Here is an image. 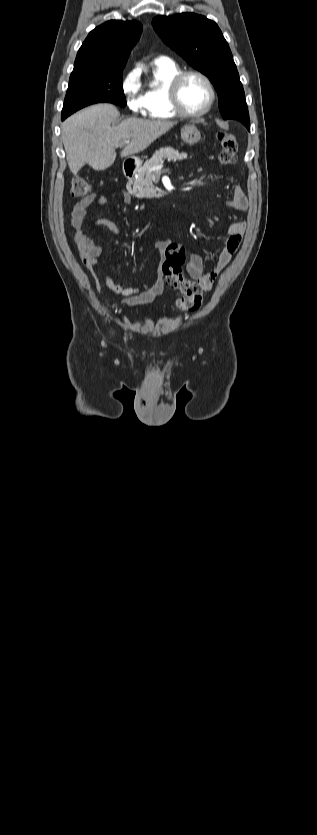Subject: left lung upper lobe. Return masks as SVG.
<instances>
[{
    "instance_id": "5c2ea615",
    "label": "left lung upper lobe",
    "mask_w": 317,
    "mask_h": 835,
    "mask_svg": "<svg viewBox=\"0 0 317 835\" xmlns=\"http://www.w3.org/2000/svg\"><path fill=\"white\" fill-rule=\"evenodd\" d=\"M152 24L171 49L211 80L218 93L222 117L250 125L237 67L217 24L194 13L157 16Z\"/></svg>"
}]
</instances>
